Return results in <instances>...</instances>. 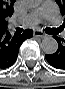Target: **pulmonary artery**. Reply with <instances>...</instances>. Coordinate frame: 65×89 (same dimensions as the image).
<instances>
[{"label": "pulmonary artery", "mask_w": 65, "mask_h": 89, "mask_svg": "<svg viewBox=\"0 0 65 89\" xmlns=\"http://www.w3.org/2000/svg\"><path fill=\"white\" fill-rule=\"evenodd\" d=\"M42 19L50 21L54 26L58 25L57 11L53 2L44 1L39 8L21 18L19 23L30 26L39 23Z\"/></svg>", "instance_id": "1"}]
</instances>
